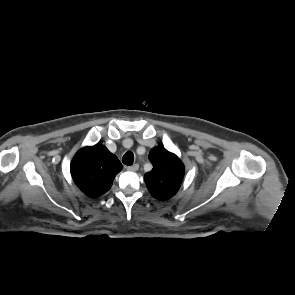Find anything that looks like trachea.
I'll use <instances>...</instances> for the list:
<instances>
[{
  "label": "trachea",
  "instance_id": "trachea-1",
  "mask_svg": "<svg viewBox=\"0 0 295 295\" xmlns=\"http://www.w3.org/2000/svg\"><path fill=\"white\" fill-rule=\"evenodd\" d=\"M122 162L127 165L131 166L134 162V154L131 151H127L124 156L122 157Z\"/></svg>",
  "mask_w": 295,
  "mask_h": 295
}]
</instances>
